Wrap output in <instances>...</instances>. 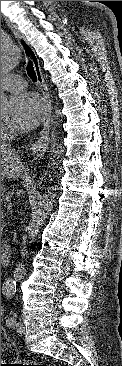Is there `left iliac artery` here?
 Wrapping results in <instances>:
<instances>
[{
    "label": "left iliac artery",
    "mask_w": 122,
    "mask_h": 366,
    "mask_svg": "<svg viewBox=\"0 0 122 366\" xmlns=\"http://www.w3.org/2000/svg\"><path fill=\"white\" fill-rule=\"evenodd\" d=\"M6 324L9 327H14L16 325V319L15 318H8L6 320Z\"/></svg>",
    "instance_id": "obj_1"
}]
</instances>
